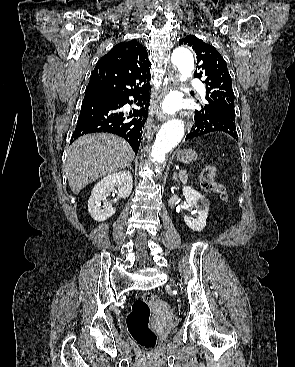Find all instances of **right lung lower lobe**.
<instances>
[{
	"label": "right lung lower lobe",
	"instance_id": "98d812e1",
	"mask_svg": "<svg viewBox=\"0 0 295 367\" xmlns=\"http://www.w3.org/2000/svg\"><path fill=\"white\" fill-rule=\"evenodd\" d=\"M141 99L142 107L129 113L122 111L125 104H132L129 97ZM148 88L124 94L85 96L82 102L73 139L96 132H108L123 137L132 146L135 154L141 142L142 129L147 120L146 106Z\"/></svg>",
	"mask_w": 295,
	"mask_h": 367
}]
</instances>
